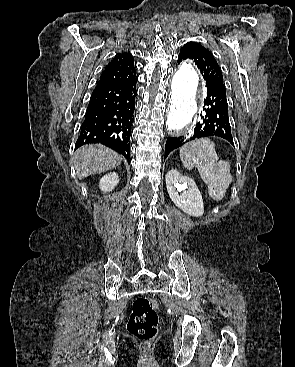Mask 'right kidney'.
Instances as JSON below:
<instances>
[{"mask_svg":"<svg viewBox=\"0 0 295 367\" xmlns=\"http://www.w3.org/2000/svg\"><path fill=\"white\" fill-rule=\"evenodd\" d=\"M118 182V175L115 172L109 173L101 178L99 187L103 192H110L115 188Z\"/></svg>","mask_w":295,"mask_h":367,"instance_id":"ca27d5eb","label":"right kidney"}]
</instances>
